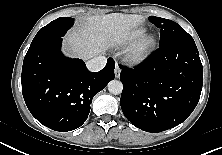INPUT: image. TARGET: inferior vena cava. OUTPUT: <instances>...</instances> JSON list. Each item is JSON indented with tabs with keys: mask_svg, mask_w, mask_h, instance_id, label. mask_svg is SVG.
<instances>
[{
	"mask_svg": "<svg viewBox=\"0 0 222 155\" xmlns=\"http://www.w3.org/2000/svg\"><path fill=\"white\" fill-rule=\"evenodd\" d=\"M107 58L102 55H98L86 62L87 69L91 72H97L104 68Z\"/></svg>",
	"mask_w": 222,
	"mask_h": 155,
	"instance_id": "obj_1",
	"label": "inferior vena cava"
}]
</instances>
